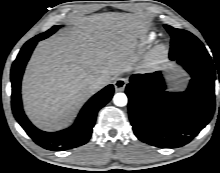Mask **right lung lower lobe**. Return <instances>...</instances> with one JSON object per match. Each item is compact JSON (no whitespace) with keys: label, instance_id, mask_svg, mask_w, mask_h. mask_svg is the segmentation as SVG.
<instances>
[{"label":"right lung lower lobe","instance_id":"98d812e1","mask_svg":"<svg viewBox=\"0 0 220 173\" xmlns=\"http://www.w3.org/2000/svg\"><path fill=\"white\" fill-rule=\"evenodd\" d=\"M43 37H34L20 50L11 68L12 82V110L13 114L35 143L41 147L52 150H66L85 144L91 137L97 112L107 104L113 96V85H108L95 94L80 111L75 124L63 131L48 133L37 129L24 114L20 95L21 78L25 65L38 41Z\"/></svg>","mask_w":220,"mask_h":173}]
</instances>
